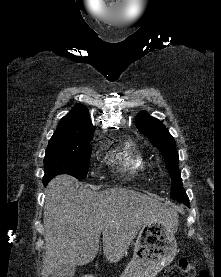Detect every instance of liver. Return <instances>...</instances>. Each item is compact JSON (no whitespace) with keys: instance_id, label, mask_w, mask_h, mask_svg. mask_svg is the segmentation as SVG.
<instances>
[{"instance_id":"6515ba94","label":"liver","mask_w":221,"mask_h":277,"mask_svg":"<svg viewBox=\"0 0 221 277\" xmlns=\"http://www.w3.org/2000/svg\"><path fill=\"white\" fill-rule=\"evenodd\" d=\"M45 195L42 277H49L64 264L92 262L101 233L104 256L117 263L146 222L177 215L165 204L134 190L78 189L76 180L66 174L53 178Z\"/></svg>"}]
</instances>
